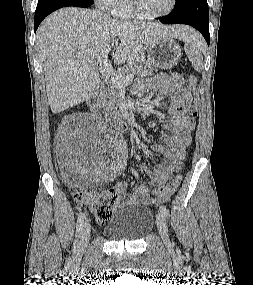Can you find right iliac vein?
<instances>
[{
    "label": "right iliac vein",
    "instance_id": "63e3f726",
    "mask_svg": "<svg viewBox=\"0 0 253 285\" xmlns=\"http://www.w3.org/2000/svg\"><path fill=\"white\" fill-rule=\"evenodd\" d=\"M91 226L90 223L86 222L81 230L80 241L77 246L78 253H83L88 245L90 238Z\"/></svg>",
    "mask_w": 253,
    "mask_h": 285
}]
</instances>
